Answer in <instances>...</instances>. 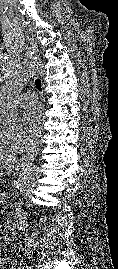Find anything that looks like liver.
<instances>
[{
    "label": "liver",
    "mask_w": 118,
    "mask_h": 269,
    "mask_svg": "<svg viewBox=\"0 0 118 269\" xmlns=\"http://www.w3.org/2000/svg\"><path fill=\"white\" fill-rule=\"evenodd\" d=\"M18 161L19 160L16 157H12L10 155H1L0 169L11 170L17 165Z\"/></svg>",
    "instance_id": "obj_1"
}]
</instances>
